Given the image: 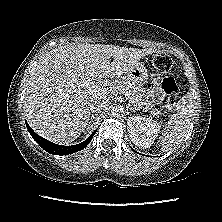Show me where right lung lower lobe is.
I'll list each match as a JSON object with an SVG mask.
<instances>
[{"instance_id":"obj_1","label":"right lung lower lobe","mask_w":222,"mask_h":222,"mask_svg":"<svg viewBox=\"0 0 222 222\" xmlns=\"http://www.w3.org/2000/svg\"><path fill=\"white\" fill-rule=\"evenodd\" d=\"M26 126L27 129L29 131V133L31 134V136L33 137V139L47 152L54 154V155H68L71 153H75L77 151H80L82 149H84L92 140L96 130L89 136L88 139H86L84 142L77 144V145H72V146H62V145H58L55 143H52L44 138H42L41 136H39L38 134H36L32 128L28 125V123L26 122Z\"/></svg>"}]
</instances>
